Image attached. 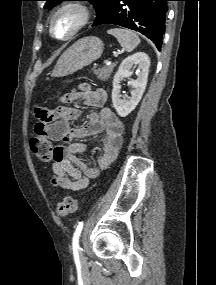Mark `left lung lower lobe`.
<instances>
[{
  "label": "left lung lower lobe",
  "mask_w": 216,
  "mask_h": 285,
  "mask_svg": "<svg viewBox=\"0 0 216 285\" xmlns=\"http://www.w3.org/2000/svg\"><path fill=\"white\" fill-rule=\"evenodd\" d=\"M168 1L114 0L105 15L93 26L114 24L138 31L152 40L160 51Z\"/></svg>",
  "instance_id": "obj_1"
}]
</instances>
